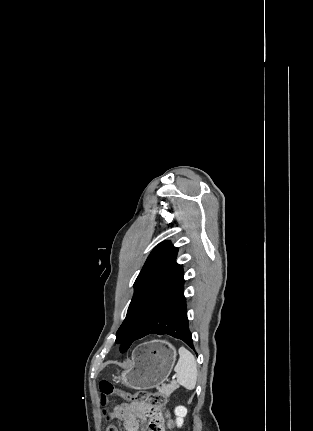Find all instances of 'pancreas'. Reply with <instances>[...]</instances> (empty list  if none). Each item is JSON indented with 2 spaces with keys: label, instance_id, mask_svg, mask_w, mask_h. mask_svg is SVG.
<instances>
[{
  "label": "pancreas",
  "instance_id": "cf45deb5",
  "mask_svg": "<svg viewBox=\"0 0 313 431\" xmlns=\"http://www.w3.org/2000/svg\"><path fill=\"white\" fill-rule=\"evenodd\" d=\"M178 388L176 383H171L170 385H164L161 388H157L159 393L164 397L168 398L170 394Z\"/></svg>",
  "mask_w": 313,
  "mask_h": 431
}]
</instances>
